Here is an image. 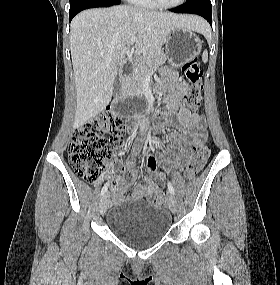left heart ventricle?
Here are the masks:
<instances>
[{
	"mask_svg": "<svg viewBox=\"0 0 280 285\" xmlns=\"http://www.w3.org/2000/svg\"><path fill=\"white\" fill-rule=\"evenodd\" d=\"M163 4H167V5H170V4H174L176 2H178L179 0H160Z\"/></svg>",
	"mask_w": 280,
	"mask_h": 285,
	"instance_id": "1",
	"label": "left heart ventricle"
}]
</instances>
